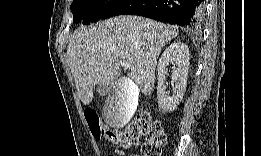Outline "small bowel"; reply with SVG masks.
<instances>
[{
    "mask_svg": "<svg viewBox=\"0 0 261 156\" xmlns=\"http://www.w3.org/2000/svg\"><path fill=\"white\" fill-rule=\"evenodd\" d=\"M97 120H99V116L98 115H97ZM114 153L117 154V155H124V152L121 151V150H115Z\"/></svg>",
    "mask_w": 261,
    "mask_h": 156,
    "instance_id": "1",
    "label": "small bowel"
}]
</instances>
